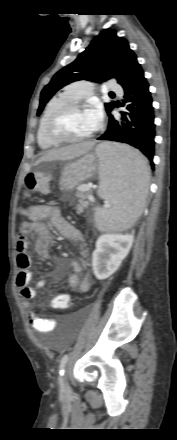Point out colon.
<instances>
[{
	"label": "colon",
	"mask_w": 177,
	"mask_h": 440,
	"mask_svg": "<svg viewBox=\"0 0 177 440\" xmlns=\"http://www.w3.org/2000/svg\"><path fill=\"white\" fill-rule=\"evenodd\" d=\"M50 181L51 178L47 172L30 173L25 178V186L29 191L45 192ZM47 303L50 311H69L76 300L74 298H48Z\"/></svg>",
	"instance_id": "colon-1"
}]
</instances>
